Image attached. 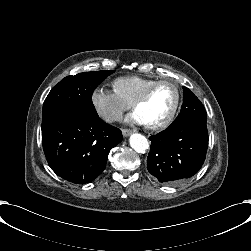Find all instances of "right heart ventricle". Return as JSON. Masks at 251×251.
<instances>
[{"label":"right heart ventricle","mask_w":251,"mask_h":251,"mask_svg":"<svg viewBox=\"0 0 251 251\" xmlns=\"http://www.w3.org/2000/svg\"><path fill=\"white\" fill-rule=\"evenodd\" d=\"M156 79L143 75H127L112 81L114 92L126 103L133 105L147 86Z\"/></svg>","instance_id":"obj_1"}]
</instances>
